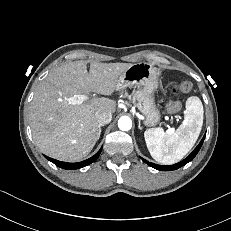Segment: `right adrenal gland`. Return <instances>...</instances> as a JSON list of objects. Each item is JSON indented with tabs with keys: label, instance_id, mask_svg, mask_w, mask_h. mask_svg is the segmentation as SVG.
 Segmentation results:
<instances>
[{
	"label": "right adrenal gland",
	"instance_id": "1",
	"mask_svg": "<svg viewBox=\"0 0 231 231\" xmlns=\"http://www.w3.org/2000/svg\"><path fill=\"white\" fill-rule=\"evenodd\" d=\"M103 125H99L98 126V128H99V136H100V134H101V127H102Z\"/></svg>",
	"mask_w": 231,
	"mask_h": 231
}]
</instances>
